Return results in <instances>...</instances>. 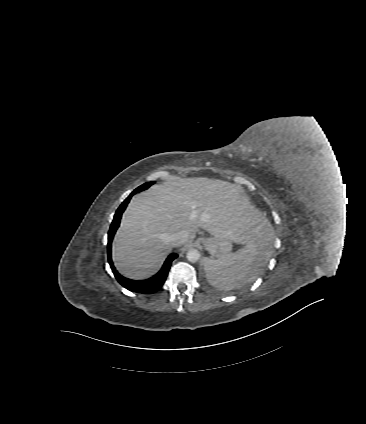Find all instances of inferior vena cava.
<instances>
[{"mask_svg":"<svg viewBox=\"0 0 366 424\" xmlns=\"http://www.w3.org/2000/svg\"><path fill=\"white\" fill-rule=\"evenodd\" d=\"M188 235L185 231H178L170 236V243L173 247L180 246L187 241Z\"/></svg>","mask_w":366,"mask_h":424,"instance_id":"obj_1","label":"inferior vena cava"}]
</instances>
